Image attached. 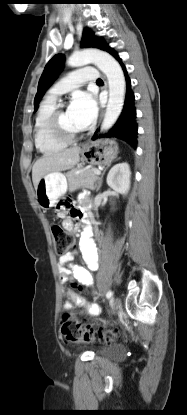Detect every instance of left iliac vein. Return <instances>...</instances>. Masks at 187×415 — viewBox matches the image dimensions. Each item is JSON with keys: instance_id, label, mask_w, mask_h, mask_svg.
<instances>
[{"instance_id": "obj_1", "label": "left iliac vein", "mask_w": 187, "mask_h": 415, "mask_svg": "<svg viewBox=\"0 0 187 415\" xmlns=\"http://www.w3.org/2000/svg\"><path fill=\"white\" fill-rule=\"evenodd\" d=\"M120 307H121V299L117 297L113 301L111 312L114 314Z\"/></svg>"}]
</instances>
